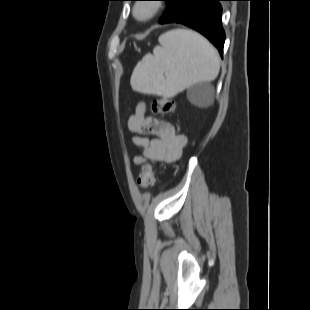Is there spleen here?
<instances>
[{
    "label": "spleen",
    "instance_id": "obj_1",
    "mask_svg": "<svg viewBox=\"0 0 310 310\" xmlns=\"http://www.w3.org/2000/svg\"><path fill=\"white\" fill-rule=\"evenodd\" d=\"M159 43L153 54L136 65L130 81L133 90L170 98L194 84L216 79L219 57L199 33L174 29L161 35Z\"/></svg>",
    "mask_w": 310,
    "mask_h": 310
}]
</instances>
